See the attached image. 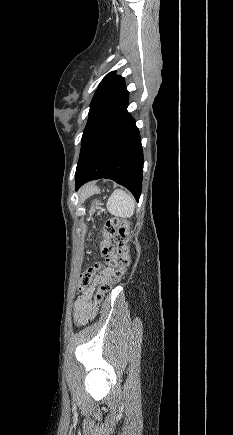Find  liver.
Here are the masks:
<instances>
[{"mask_svg":"<svg viewBox=\"0 0 233 435\" xmlns=\"http://www.w3.org/2000/svg\"><path fill=\"white\" fill-rule=\"evenodd\" d=\"M84 190L86 192H94L96 190V188L94 186H92V185H89Z\"/></svg>","mask_w":233,"mask_h":435,"instance_id":"obj_1","label":"liver"}]
</instances>
